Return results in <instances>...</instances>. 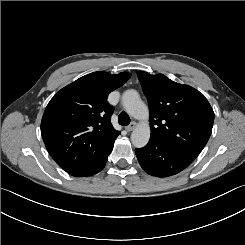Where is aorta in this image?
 <instances>
[{
  "label": "aorta",
  "mask_w": 245,
  "mask_h": 245,
  "mask_svg": "<svg viewBox=\"0 0 245 245\" xmlns=\"http://www.w3.org/2000/svg\"><path fill=\"white\" fill-rule=\"evenodd\" d=\"M123 106L133 118L145 121L138 125L131 133V142L136 148L147 145L150 139V126L148 123L149 110L135 90H126L122 95Z\"/></svg>",
  "instance_id": "obj_1"
}]
</instances>
